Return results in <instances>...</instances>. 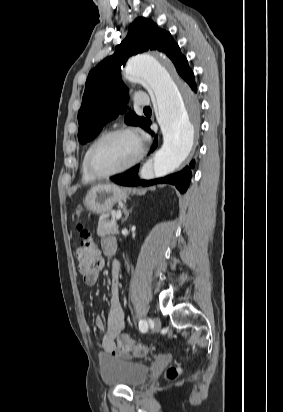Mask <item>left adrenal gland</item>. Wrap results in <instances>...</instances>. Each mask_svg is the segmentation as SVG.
<instances>
[{"label": "left adrenal gland", "instance_id": "left-adrenal-gland-1", "mask_svg": "<svg viewBox=\"0 0 283 412\" xmlns=\"http://www.w3.org/2000/svg\"><path fill=\"white\" fill-rule=\"evenodd\" d=\"M131 211H132V208H131L130 210H127L126 207L123 208L124 218L122 219V222H121V223H123L124 221H126V220L128 219L129 213H130Z\"/></svg>", "mask_w": 283, "mask_h": 412}]
</instances>
